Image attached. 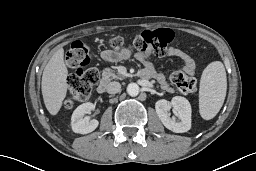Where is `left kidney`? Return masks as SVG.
Wrapping results in <instances>:
<instances>
[{
	"instance_id": "5707ae66",
	"label": "left kidney",
	"mask_w": 256,
	"mask_h": 171,
	"mask_svg": "<svg viewBox=\"0 0 256 171\" xmlns=\"http://www.w3.org/2000/svg\"><path fill=\"white\" fill-rule=\"evenodd\" d=\"M171 108L178 117V121H176L175 117H170L169 110ZM155 109L159 119L167 129L175 133H184L191 128L192 111L191 105L186 98L175 96L171 101L158 100L155 104Z\"/></svg>"
}]
</instances>
